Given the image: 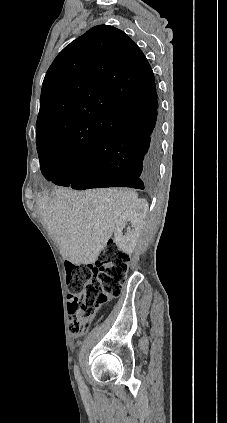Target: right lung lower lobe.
<instances>
[{
    "label": "right lung lower lobe",
    "mask_w": 227,
    "mask_h": 423,
    "mask_svg": "<svg viewBox=\"0 0 227 423\" xmlns=\"http://www.w3.org/2000/svg\"><path fill=\"white\" fill-rule=\"evenodd\" d=\"M158 107L155 89L146 100L108 108L107 115L126 120L128 127L103 136L72 163L41 164L43 176L56 185L77 190L114 186L151 190L161 152Z\"/></svg>",
    "instance_id": "98d812e1"
}]
</instances>
